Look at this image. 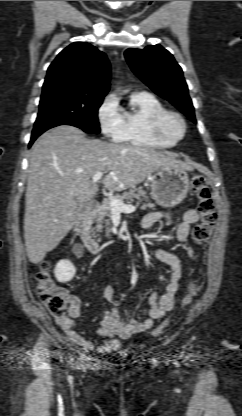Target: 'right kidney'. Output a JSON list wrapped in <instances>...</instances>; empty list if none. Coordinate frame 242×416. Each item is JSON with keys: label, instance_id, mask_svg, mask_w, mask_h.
<instances>
[{"label": "right kidney", "instance_id": "obj_1", "mask_svg": "<svg viewBox=\"0 0 242 416\" xmlns=\"http://www.w3.org/2000/svg\"><path fill=\"white\" fill-rule=\"evenodd\" d=\"M76 268L69 260H61L54 269V275L59 282H68L73 279Z\"/></svg>", "mask_w": 242, "mask_h": 416}]
</instances>
